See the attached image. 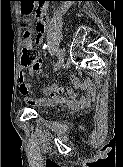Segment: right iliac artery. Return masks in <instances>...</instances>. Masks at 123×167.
<instances>
[{"mask_svg":"<svg viewBox=\"0 0 123 167\" xmlns=\"http://www.w3.org/2000/svg\"><path fill=\"white\" fill-rule=\"evenodd\" d=\"M62 52H63V50H58V51H57V56H58V58L61 56Z\"/></svg>","mask_w":123,"mask_h":167,"instance_id":"82829eb1","label":"right iliac artery"}]
</instances>
